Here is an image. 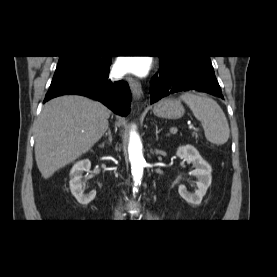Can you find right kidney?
Instances as JSON below:
<instances>
[{
  "label": "right kidney",
  "instance_id": "ca27d5eb",
  "mask_svg": "<svg viewBox=\"0 0 277 277\" xmlns=\"http://www.w3.org/2000/svg\"><path fill=\"white\" fill-rule=\"evenodd\" d=\"M91 168V162L89 159H84L76 162L70 171L69 186L72 195L76 200L82 204H89L96 196V192L93 191L89 194H84L82 174L84 171H89Z\"/></svg>",
  "mask_w": 277,
  "mask_h": 277
}]
</instances>
